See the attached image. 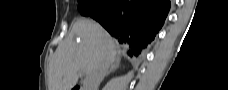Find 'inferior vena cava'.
Returning <instances> with one entry per match:
<instances>
[{
    "mask_svg": "<svg viewBox=\"0 0 228 90\" xmlns=\"http://www.w3.org/2000/svg\"><path fill=\"white\" fill-rule=\"evenodd\" d=\"M109 67L110 61L108 59L103 58L97 62L88 73L84 81L83 90H98V87L104 79Z\"/></svg>",
    "mask_w": 228,
    "mask_h": 90,
    "instance_id": "1",
    "label": "inferior vena cava"
}]
</instances>
